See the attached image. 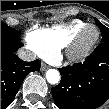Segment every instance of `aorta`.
<instances>
[{
	"label": "aorta",
	"mask_w": 109,
	"mask_h": 109,
	"mask_svg": "<svg viewBox=\"0 0 109 109\" xmlns=\"http://www.w3.org/2000/svg\"><path fill=\"white\" fill-rule=\"evenodd\" d=\"M46 79L50 84H58L60 81V73L56 69H49L46 72Z\"/></svg>",
	"instance_id": "aorta-1"
}]
</instances>
